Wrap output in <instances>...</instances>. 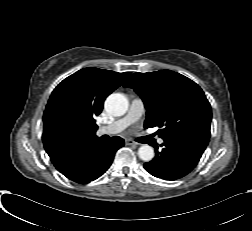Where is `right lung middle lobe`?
I'll use <instances>...</instances> for the list:
<instances>
[{"instance_id": "right-lung-middle-lobe-1", "label": "right lung middle lobe", "mask_w": 252, "mask_h": 231, "mask_svg": "<svg viewBox=\"0 0 252 231\" xmlns=\"http://www.w3.org/2000/svg\"><path fill=\"white\" fill-rule=\"evenodd\" d=\"M65 123H66V125H68V126L71 125V122H70V121H66Z\"/></svg>"}]
</instances>
